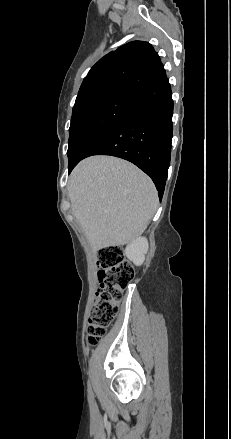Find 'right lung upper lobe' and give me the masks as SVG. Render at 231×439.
Returning <instances> with one entry per match:
<instances>
[{"label": "right lung upper lobe", "mask_w": 231, "mask_h": 439, "mask_svg": "<svg viewBox=\"0 0 231 439\" xmlns=\"http://www.w3.org/2000/svg\"><path fill=\"white\" fill-rule=\"evenodd\" d=\"M165 77L160 57L153 47L147 42L133 41L110 52L91 68L74 107L105 95L135 94Z\"/></svg>", "instance_id": "right-lung-upper-lobe-1"}]
</instances>
